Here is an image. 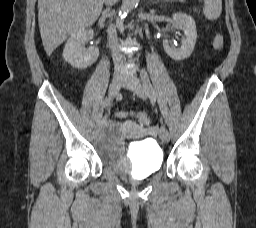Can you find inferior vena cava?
Segmentation results:
<instances>
[{"label":"inferior vena cava","mask_w":256,"mask_h":228,"mask_svg":"<svg viewBox=\"0 0 256 228\" xmlns=\"http://www.w3.org/2000/svg\"><path fill=\"white\" fill-rule=\"evenodd\" d=\"M104 2L108 6V9H109V7L114 5L117 2V0H104ZM107 33H108L109 46L112 51L115 73L123 74V73H125L126 69L124 67L123 57L118 49V39H117L115 26H113V25L109 26Z\"/></svg>","instance_id":"602c4592"}]
</instances>
